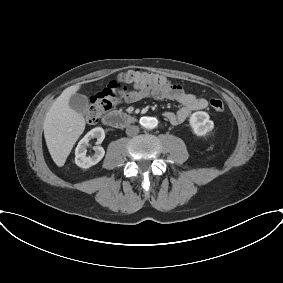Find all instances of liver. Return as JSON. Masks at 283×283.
Here are the masks:
<instances>
[{
    "label": "liver",
    "mask_w": 283,
    "mask_h": 283,
    "mask_svg": "<svg viewBox=\"0 0 283 283\" xmlns=\"http://www.w3.org/2000/svg\"><path fill=\"white\" fill-rule=\"evenodd\" d=\"M80 89V85L66 88L54 101L47 112L44 123V136L49 153L59 167H62L74 144L85 129L84 117L69 106V99Z\"/></svg>",
    "instance_id": "6515ba94"
}]
</instances>
